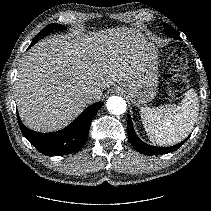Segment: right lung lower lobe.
I'll use <instances>...</instances> for the list:
<instances>
[{
    "mask_svg": "<svg viewBox=\"0 0 211 211\" xmlns=\"http://www.w3.org/2000/svg\"><path fill=\"white\" fill-rule=\"evenodd\" d=\"M102 105V102H97L89 106L65 129L52 133L35 132L25 127L18 114L17 119L22 134L41 153L48 156L66 155L83 148L90 123Z\"/></svg>",
    "mask_w": 211,
    "mask_h": 211,
    "instance_id": "1",
    "label": "right lung lower lobe"
}]
</instances>
